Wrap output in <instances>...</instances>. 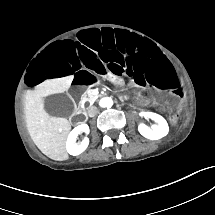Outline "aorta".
I'll return each mask as SVG.
<instances>
[{
    "label": "aorta",
    "mask_w": 215,
    "mask_h": 215,
    "mask_svg": "<svg viewBox=\"0 0 215 215\" xmlns=\"http://www.w3.org/2000/svg\"><path fill=\"white\" fill-rule=\"evenodd\" d=\"M114 105V100L111 96L103 97L100 100V106L104 108H111Z\"/></svg>",
    "instance_id": "1"
}]
</instances>
